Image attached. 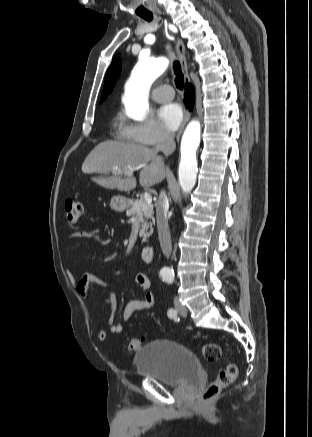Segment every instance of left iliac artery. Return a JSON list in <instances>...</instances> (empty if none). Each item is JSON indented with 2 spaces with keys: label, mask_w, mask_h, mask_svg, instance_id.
<instances>
[{
  "label": "left iliac artery",
  "mask_w": 312,
  "mask_h": 437,
  "mask_svg": "<svg viewBox=\"0 0 312 437\" xmlns=\"http://www.w3.org/2000/svg\"><path fill=\"white\" fill-rule=\"evenodd\" d=\"M167 282L171 283L173 280L172 279H166ZM168 317L170 318H176L177 317V312L176 310L170 308L167 312Z\"/></svg>",
  "instance_id": "44dca946"
}]
</instances>
